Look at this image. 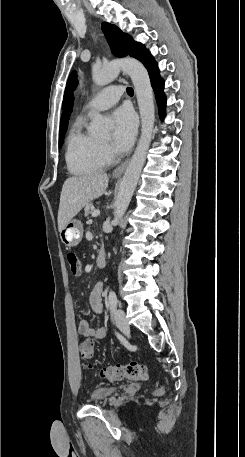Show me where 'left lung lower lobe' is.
<instances>
[{"mask_svg":"<svg viewBox=\"0 0 245 457\" xmlns=\"http://www.w3.org/2000/svg\"><path fill=\"white\" fill-rule=\"evenodd\" d=\"M140 61L148 70L151 85L154 89L156 101L159 108V115L160 118L163 119L165 114L166 97L163 92L164 81L163 79L159 78V69L157 67V63L154 61L150 53L143 57Z\"/></svg>","mask_w":245,"mask_h":457,"instance_id":"0a47b994","label":"left lung lower lobe"}]
</instances>
